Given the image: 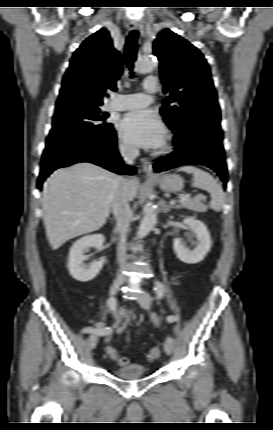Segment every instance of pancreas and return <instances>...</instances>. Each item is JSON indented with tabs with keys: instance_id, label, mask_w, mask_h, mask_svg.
I'll return each instance as SVG.
<instances>
[{
	"instance_id": "pancreas-1",
	"label": "pancreas",
	"mask_w": 273,
	"mask_h": 430,
	"mask_svg": "<svg viewBox=\"0 0 273 430\" xmlns=\"http://www.w3.org/2000/svg\"><path fill=\"white\" fill-rule=\"evenodd\" d=\"M182 208H186L195 212H206L207 206L201 202V198L186 199L180 202Z\"/></svg>"
}]
</instances>
